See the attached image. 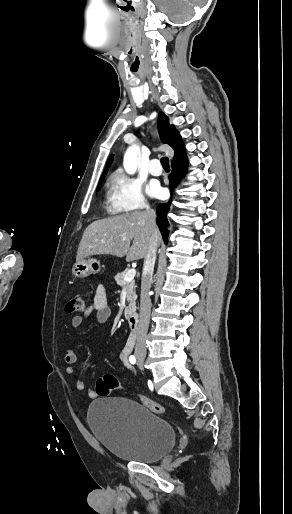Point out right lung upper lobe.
I'll return each mask as SVG.
<instances>
[{"instance_id": "right-lung-upper-lobe-1", "label": "right lung upper lobe", "mask_w": 292, "mask_h": 514, "mask_svg": "<svg viewBox=\"0 0 292 514\" xmlns=\"http://www.w3.org/2000/svg\"><path fill=\"white\" fill-rule=\"evenodd\" d=\"M158 131L161 141L165 144L170 145L174 150V158L172 162L186 155L185 146L182 142L179 132L173 125L169 124L168 117L163 112L159 113ZM112 161L113 155L109 157L107 161V167L105 168L100 181H102L103 178L106 176L108 172V167H110Z\"/></svg>"}]
</instances>
